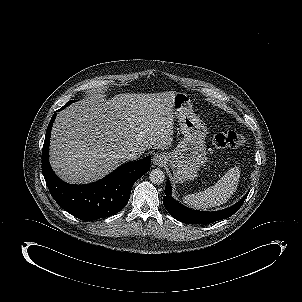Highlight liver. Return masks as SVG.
I'll return each instance as SVG.
<instances>
[{
  "mask_svg": "<svg viewBox=\"0 0 302 302\" xmlns=\"http://www.w3.org/2000/svg\"><path fill=\"white\" fill-rule=\"evenodd\" d=\"M176 93L90 98L59 112L50 140L54 172L68 183H90L125 163L126 151L169 148Z\"/></svg>",
  "mask_w": 302,
  "mask_h": 302,
  "instance_id": "liver-1",
  "label": "liver"
}]
</instances>
